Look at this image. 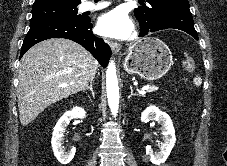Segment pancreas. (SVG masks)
I'll return each mask as SVG.
<instances>
[{"label":"pancreas","instance_id":"obj_1","mask_svg":"<svg viewBox=\"0 0 227 166\" xmlns=\"http://www.w3.org/2000/svg\"><path fill=\"white\" fill-rule=\"evenodd\" d=\"M156 90H158V87L150 86V89L148 90V92H153V91H156Z\"/></svg>","mask_w":227,"mask_h":166}]
</instances>
